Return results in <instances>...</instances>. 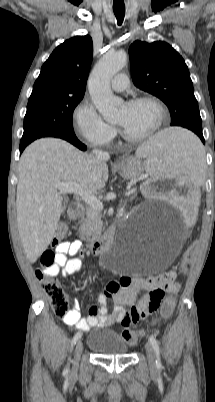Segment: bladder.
<instances>
[{"mask_svg":"<svg viewBox=\"0 0 215 402\" xmlns=\"http://www.w3.org/2000/svg\"><path fill=\"white\" fill-rule=\"evenodd\" d=\"M88 348L105 356H120L128 352V345L123 338L109 328H96L87 337Z\"/></svg>","mask_w":215,"mask_h":402,"instance_id":"obj_1","label":"bladder"}]
</instances>
